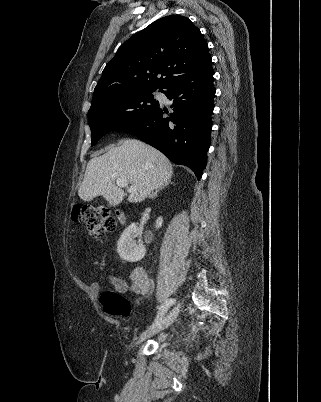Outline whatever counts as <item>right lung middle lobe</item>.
I'll use <instances>...</instances> for the list:
<instances>
[{
  "label": "right lung middle lobe",
  "instance_id": "right-lung-middle-lobe-1",
  "mask_svg": "<svg viewBox=\"0 0 321 402\" xmlns=\"http://www.w3.org/2000/svg\"><path fill=\"white\" fill-rule=\"evenodd\" d=\"M155 90L128 93L92 105L88 112L92 133L91 146L106 133L134 123L154 112L159 107V102L153 95Z\"/></svg>",
  "mask_w": 321,
  "mask_h": 402
}]
</instances>
